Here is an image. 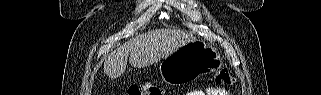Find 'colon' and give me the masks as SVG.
Listing matches in <instances>:
<instances>
[{
    "label": "colon",
    "mask_w": 321,
    "mask_h": 95,
    "mask_svg": "<svg viewBox=\"0 0 321 95\" xmlns=\"http://www.w3.org/2000/svg\"><path fill=\"white\" fill-rule=\"evenodd\" d=\"M213 82L218 85L231 86L235 78L227 70L221 69L215 73ZM128 95H162V90L155 84L146 83L142 86L133 84L128 89Z\"/></svg>",
    "instance_id": "colon-1"
}]
</instances>
